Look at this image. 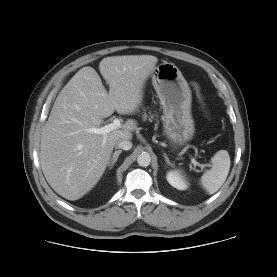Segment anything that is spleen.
I'll return each instance as SVG.
<instances>
[{
  "instance_id": "spleen-1",
  "label": "spleen",
  "mask_w": 277,
  "mask_h": 277,
  "mask_svg": "<svg viewBox=\"0 0 277 277\" xmlns=\"http://www.w3.org/2000/svg\"><path fill=\"white\" fill-rule=\"evenodd\" d=\"M212 168L201 177V184L209 194H214L224 184L230 170V156L219 150L211 159Z\"/></svg>"
}]
</instances>
